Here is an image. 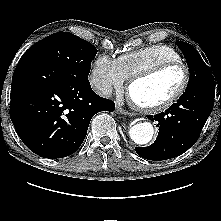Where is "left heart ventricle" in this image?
<instances>
[{"label":"left heart ventricle","instance_id":"obj_1","mask_svg":"<svg viewBox=\"0 0 221 221\" xmlns=\"http://www.w3.org/2000/svg\"><path fill=\"white\" fill-rule=\"evenodd\" d=\"M184 72L180 67L166 69L151 78L137 82L131 90L134 100L142 105H156L166 101L181 86Z\"/></svg>","mask_w":221,"mask_h":221}]
</instances>
